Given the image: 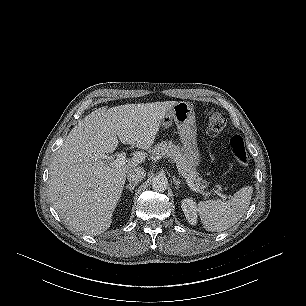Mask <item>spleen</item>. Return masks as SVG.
<instances>
[{
    "mask_svg": "<svg viewBox=\"0 0 306 306\" xmlns=\"http://www.w3.org/2000/svg\"><path fill=\"white\" fill-rule=\"evenodd\" d=\"M253 187L241 188L228 201L207 200L199 202L197 211L207 231L221 232L233 225L246 213L250 205Z\"/></svg>",
    "mask_w": 306,
    "mask_h": 306,
    "instance_id": "1",
    "label": "spleen"
}]
</instances>
